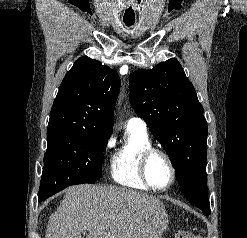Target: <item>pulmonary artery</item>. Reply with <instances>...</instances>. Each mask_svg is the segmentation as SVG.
<instances>
[{"instance_id": "obj_1", "label": "pulmonary artery", "mask_w": 247, "mask_h": 238, "mask_svg": "<svg viewBox=\"0 0 247 238\" xmlns=\"http://www.w3.org/2000/svg\"><path fill=\"white\" fill-rule=\"evenodd\" d=\"M128 126H133V127H137L139 129H142V130H146V123L145 121L140 118V117H131L129 120H128V123H127Z\"/></svg>"}]
</instances>
